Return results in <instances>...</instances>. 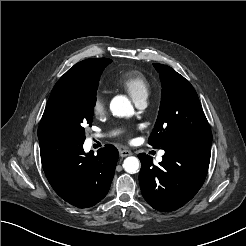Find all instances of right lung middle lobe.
<instances>
[{"instance_id": "1", "label": "right lung middle lobe", "mask_w": 246, "mask_h": 246, "mask_svg": "<svg viewBox=\"0 0 246 246\" xmlns=\"http://www.w3.org/2000/svg\"><path fill=\"white\" fill-rule=\"evenodd\" d=\"M112 60L93 59L78 79L52 90L38 134H68L85 138V124H92L100 75Z\"/></svg>"}]
</instances>
